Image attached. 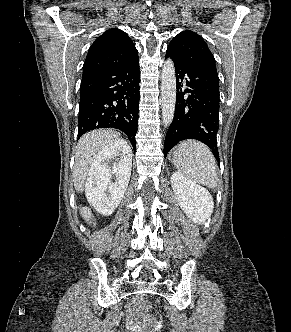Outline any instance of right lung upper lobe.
<instances>
[{
  "mask_svg": "<svg viewBox=\"0 0 291 332\" xmlns=\"http://www.w3.org/2000/svg\"><path fill=\"white\" fill-rule=\"evenodd\" d=\"M138 51L129 36L119 29H109L89 48L83 73L111 68L133 61Z\"/></svg>",
  "mask_w": 291,
  "mask_h": 332,
  "instance_id": "obj_1",
  "label": "right lung upper lobe"
}]
</instances>
